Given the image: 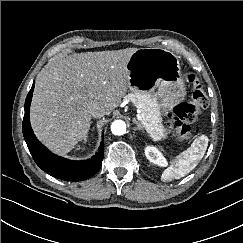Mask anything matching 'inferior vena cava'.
Segmentation results:
<instances>
[{
  "mask_svg": "<svg viewBox=\"0 0 243 243\" xmlns=\"http://www.w3.org/2000/svg\"><path fill=\"white\" fill-rule=\"evenodd\" d=\"M90 113L93 117L100 118L106 114V111L102 106L94 104L90 109Z\"/></svg>",
  "mask_w": 243,
  "mask_h": 243,
  "instance_id": "obj_1",
  "label": "inferior vena cava"
}]
</instances>
